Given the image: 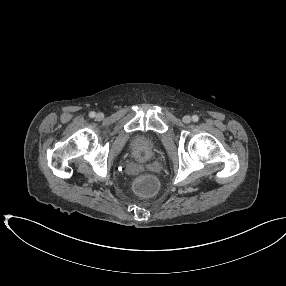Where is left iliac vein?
Here are the masks:
<instances>
[{"label":"left iliac vein","mask_w":286,"mask_h":286,"mask_svg":"<svg viewBox=\"0 0 286 286\" xmlns=\"http://www.w3.org/2000/svg\"><path fill=\"white\" fill-rule=\"evenodd\" d=\"M182 120H183L184 123L188 124V123L191 122L192 119H191V117L189 115H185Z\"/></svg>","instance_id":"4c4485c4"}]
</instances>
